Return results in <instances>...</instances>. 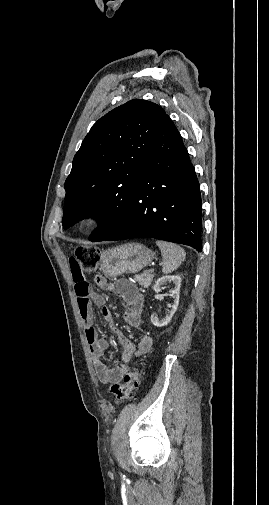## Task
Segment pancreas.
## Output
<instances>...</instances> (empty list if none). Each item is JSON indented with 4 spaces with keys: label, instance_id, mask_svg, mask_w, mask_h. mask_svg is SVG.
<instances>
[{
    "label": "pancreas",
    "instance_id": "pancreas-1",
    "mask_svg": "<svg viewBox=\"0 0 269 505\" xmlns=\"http://www.w3.org/2000/svg\"><path fill=\"white\" fill-rule=\"evenodd\" d=\"M134 280L139 283V285L148 288L153 280V273L147 270L141 274L135 275Z\"/></svg>",
    "mask_w": 269,
    "mask_h": 505
}]
</instances>
